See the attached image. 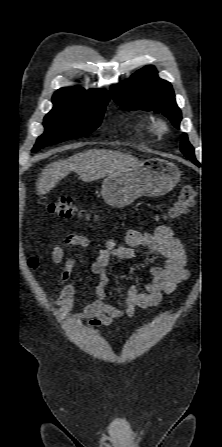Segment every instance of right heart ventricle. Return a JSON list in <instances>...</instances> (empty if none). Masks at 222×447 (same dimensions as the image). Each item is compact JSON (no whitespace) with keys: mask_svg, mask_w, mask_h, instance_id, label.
<instances>
[{"mask_svg":"<svg viewBox=\"0 0 222 447\" xmlns=\"http://www.w3.org/2000/svg\"><path fill=\"white\" fill-rule=\"evenodd\" d=\"M142 129L145 133H148V134L153 132L152 126L150 125V123H147V122H144L142 124Z\"/></svg>","mask_w":222,"mask_h":447,"instance_id":"obj_1","label":"right heart ventricle"}]
</instances>
